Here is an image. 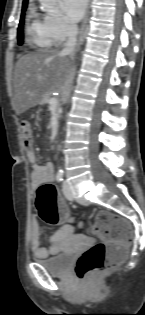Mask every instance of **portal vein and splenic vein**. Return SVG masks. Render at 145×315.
<instances>
[{"label":"portal vein and splenic vein","mask_w":145,"mask_h":315,"mask_svg":"<svg viewBox=\"0 0 145 315\" xmlns=\"http://www.w3.org/2000/svg\"><path fill=\"white\" fill-rule=\"evenodd\" d=\"M56 102H57L56 98H51V99L49 100V103H50L51 105L56 104Z\"/></svg>","instance_id":"obj_1"}]
</instances>
